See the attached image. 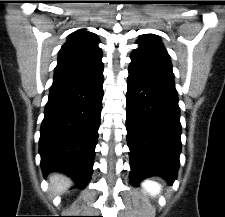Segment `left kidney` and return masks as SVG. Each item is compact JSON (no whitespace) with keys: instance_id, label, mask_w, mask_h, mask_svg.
Instances as JSON below:
<instances>
[{"instance_id":"obj_1","label":"left kidney","mask_w":225,"mask_h":217,"mask_svg":"<svg viewBox=\"0 0 225 217\" xmlns=\"http://www.w3.org/2000/svg\"><path fill=\"white\" fill-rule=\"evenodd\" d=\"M142 187L144 188V190H146V192H148L152 196L157 195L161 190V186L158 183L153 182L151 180H145L142 183Z\"/></svg>"}]
</instances>
